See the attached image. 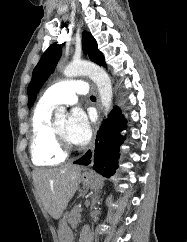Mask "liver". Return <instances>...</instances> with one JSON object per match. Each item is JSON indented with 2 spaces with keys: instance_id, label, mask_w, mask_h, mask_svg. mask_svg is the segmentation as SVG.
I'll return each instance as SVG.
<instances>
[{
  "instance_id": "obj_1",
  "label": "liver",
  "mask_w": 187,
  "mask_h": 242,
  "mask_svg": "<svg viewBox=\"0 0 187 242\" xmlns=\"http://www.w3.org/2000/svg\"><path fill=\"white\" fill-rule=\"evenodd\" d=\"M33 180L46 211L59 219L74 196L81 181L78 165H65L54 169H36Z\"/></svg>"
}]
</instances>
